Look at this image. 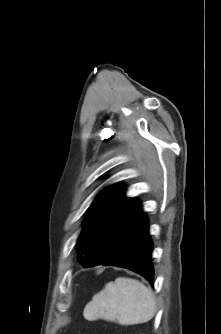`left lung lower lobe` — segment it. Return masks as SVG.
<instances>
[{"label":"left lung lower lobe","mask_w":221,"mask_h":334,"mask_svg":"<svg viewBox=\"0 0 221 334\" xmlns=\"http://www.w3.org/2000/svg\"><path fill=\"white\" fill-rule=\"evenodd\" d=\"M152 250L147 217L139 201L134 199L102 235L94 250L95 260L88 267L127 268L142 275L153 286Z\"/></svg>","instance_id":"1"}]
</instances>
